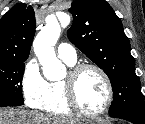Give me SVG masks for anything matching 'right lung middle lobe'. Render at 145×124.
I'll return each instance as SVG.
<instances>
[{
  "instance_id": "dd1d6c3e",
  "label": "right lung middle lobe",
  "mask_w": 145,
  "mask_h": 124,
  "mask_svg": "<svg viewBox=\"0 0 145 124\" xmlns=\"http://www.w3.org/2000/svg\"><path fill=\"white\" fill-rule=\"evenodd\" d=\"M26 59L0 60V102L24 101L22 78Z\"/></svg>"
}]
</instances>
